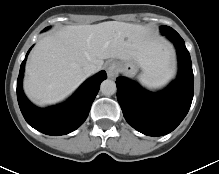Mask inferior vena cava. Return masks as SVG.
<instances>
[{
    "label": "inferior vena cava",
    "mask_w": 219,
    "mask_h": 174,
    "mask_svg": "<svg viewBox=\"0 0 219 174\" xmlns=\"http://www.w3.org/2000/svg\"><path fill=\"white\" fill-rule=\"evenodd\" d=\"M97 71V67L94 64H87L84 67V73L89 76Z\"/></svg>",
    "instance_id": "obj_1"
}]
</instances>
